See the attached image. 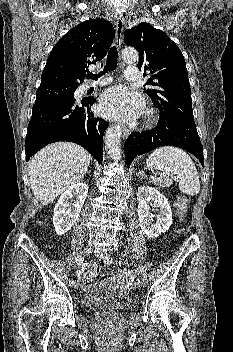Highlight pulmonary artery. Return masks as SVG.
<instances>
[{
    "label": "pulmonary artery",
    "mask_w": 233,
    "mask_h": 352,
    "mask_svg": "<svg viewBox=\"0 0 233 352\" xmlns=\"http://www.w3.org/2000/svg\"><path fill=\"white\" fill-rule=\"evenodd\" d=\"M125 78L130 81H135L138 78V69L134 66H130L125 70ZM109 82V79H103L99 81L95 86L103 85ZM92 85H85L84 89L88 90Z\"/></svg>",
    "instance_id": "1"
}]
</instances>
